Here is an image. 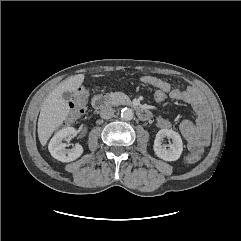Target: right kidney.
Listing matches in <instances>:
<instances>
[{
    "mask_svg": "<svg viewBox=\"0 0 241 241\" xmlns=\"http://www.w3.org/2000/svg\"><path fill=\"white\" fill-rule=\"evenodd\" d=\"M77 131L73 127H66L58 131L48 145L51 155L61 162H71L79 158L83 153V147L76 144L72 149H65L66 144L62 141L66 137L75 136Z\"/></svg>",
    "mask_w": 241,
    "mask_h": 241,
    "instance_id": "right-kidney-1",
    "label": "right kidney"
}]
</instances>
